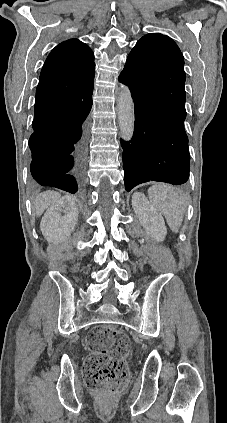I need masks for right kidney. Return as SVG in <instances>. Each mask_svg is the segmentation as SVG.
Wrapping results in <instances>:
<instances>
[{"mask_svg": "<svg viewBox=\"0 0 227 423\" xmlns=\"http://www.w3.org/2000/svg\"><path fill=\"white\" fill-rule=\"evenodd\" d=\"M78 215V206L73 196H63L45 211L40 223L42 235L48 243L66 239L67 235H71Z\"/></svg>", "mask_w": 227, "mask_h": 423, "instance_id": "ca27d5eb", "label": "right kidney"}]
</instances>
